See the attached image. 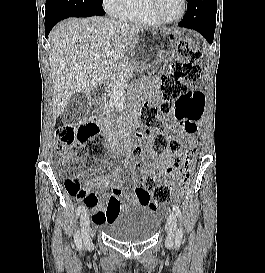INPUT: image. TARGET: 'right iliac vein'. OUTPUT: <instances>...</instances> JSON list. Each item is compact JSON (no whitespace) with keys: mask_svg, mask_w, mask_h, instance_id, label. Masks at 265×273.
<instances>
[{"mask_svg":"<svg viewBox=\"0 0 265 273\" xmlns=\"http://www.w3.org/2000/svg\"><path fill=\"white\" fill-rule=\"evenodd\" d=\"M80 225L84 246L89 247L92 245V239L90 234V219L87 212L81 215Z\"/></svg>","mask_w":265,"mask_h":273,"instance_id":"right-iliac-vein-1","label":"right iliac vein"}]
</instances>
